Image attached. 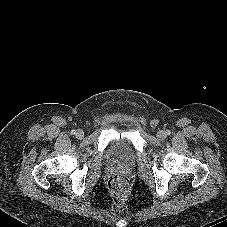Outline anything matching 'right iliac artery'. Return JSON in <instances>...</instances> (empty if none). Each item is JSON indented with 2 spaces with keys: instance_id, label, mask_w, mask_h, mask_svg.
I'll return each instance as SVG.
<instances>
[{
  "instance_id": "1",
  "label": "right iliac artery",
  "mask_w": 227,
  "mask_h": 227,
  "mask_svg": "<svg viewBox=\"0 0 227 227\" xmlns=\"http://www.w3.org/2000/svg\"><path fill=\"white\" fill-rule=\"evenodd\" d=\"M71 134H72V135H75V134H76V131H75V130H72V131H71Z\"/></svg>"
}]
</instances>
